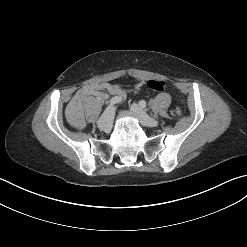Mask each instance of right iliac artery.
Masks as SVG:
<instances>
[{
  "instance_id": "obj_1",
  "label": "right iliac artery",
  "mask_w": 247,
  "mask_h": 247,
  "mask_svg": "<svg viewBox=\"0 0 247 247\" xmlns=\"http://www.w3.org/2000/svg\"><path fill=\"white\" fill-rule=\"evenodd\" d=\"M121 101H122V97H121V96H115V97L111 98V99L106 103L107 105H109V106L106 108V110L109 109V107H110L111 105H114V104L119 103V102H121Z\"/></svg>"
}]
</instances>
